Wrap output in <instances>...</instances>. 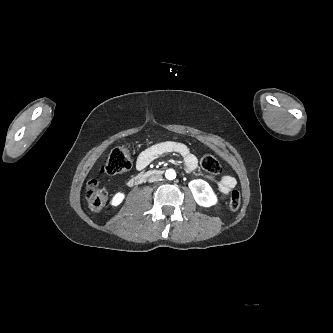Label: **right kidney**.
I'll return each instance as SVG.
<instances>
[{"label":"right kidney","mask_w":333,"mask_h":333,"mask_svg":"<svg viewBox=\"0 0 333 333\" xmlns=\"http://www.w3.org/2000/svg\"><path fill=\"white\" fill-rule=\"evenodd\" d=\"M124 197L123 193H116L111 200V204L113 206H118L123 201Z\"/></svg>","instance_id":"ca27d5eb"}]
</instances>
